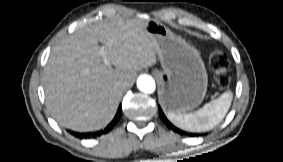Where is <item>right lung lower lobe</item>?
I'll list each match as a JSON object with an SVG mask.
<instances>
[{
	"mask_svg": "<svg viewBox=\"0 0 283 162\" xmlns=\"http://www.w3.org/2000/svg\"><path fill=\"white\" fill-rule=\"evenodd\" d=\"M120 116H121V108L118 109L113 121L105 129L106 132L110 131L114 127L115 123L119 120ZM100 133L102 134L103 131H100Z\"/></svg>",
	"mask_w": 283,
	"mask_h": 162,
	"instance_id": "1",
	"label": "right lung lower lobe"
}]
</instances>
